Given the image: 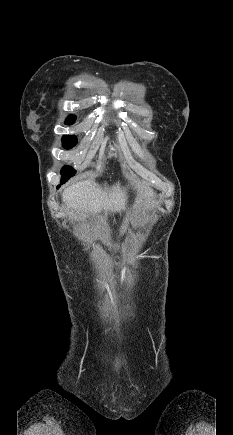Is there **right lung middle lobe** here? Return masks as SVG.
Masks as SVG:
<instances>
[{"instance_id":"obj_1","label":"right lung middle lobe","mask_w":233,"mask_h":435,"mask_svg":"<svg viewBox=\"0 0 233 435\" xmlns=\"http://www.w3.org/2000/svg\"><path fill=\"white\" fill-rule=\"evenodd\" d=\"M73 122L74 120L67 122V124H72ZM62 143L64 148L70 149L76 145L77 138L73 135H64L62 138ZM74 174H75V170L72 169L71 167L69 166L63 167L61 170V175H62L61 183L62 184L65 183L70 177L74 176Z\"/></svg>"}]
</instances>
